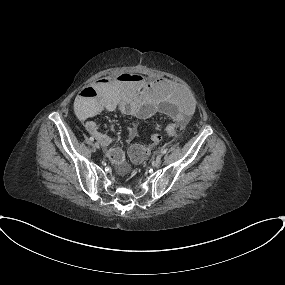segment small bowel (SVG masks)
<instances>
[{
	"label": "small bowel",
	"instance_id": "1",
	"mask_svg": "<svg viewBox=\"0 0 285 285\" xmlns=\"http://www.w3.org/2000/svg\"><path fill=\"white\" fill-rule=\"evenodd\" d=\"M130 76L131 78H125ZM94 94V95H92ZM96 96V98H92ZM76 113L85 121V128L104 148L110 160L122 166L125 158L123 147H110L112 139L99 129L92 119L103 110H119L126 116L147 119L161 112L172 121L184 126L194 114L196 106L193 99L178 83L167 78L146 80L137 74H122L98 80L81 91L74 99ZM173 136L176 132L167 131ZM137 135V126L129 128V138Z\"/></svg>",
	"mask_w": 285,
	"mask_h": 285
}]
</instances>
